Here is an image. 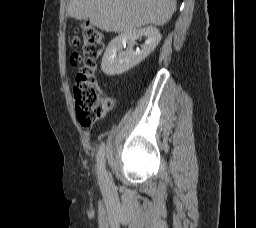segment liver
<instances>
[{
	"mask_svg": "<svg viewBox=\"0 0 256 228\" xmlns=\"http://www.w3.org/2000/svg\"><path fill=\"white\" fill-rule=\"evenodd\" d=\"M176 0H69L67 14L106 32H128L144 25L162 26L172 17Z\"/></svg>",
	"mask_w": 256,
	"mask_h": 228,
	"instance_id": "6515ba94",
	"label": "liver"
}]
</instances>
